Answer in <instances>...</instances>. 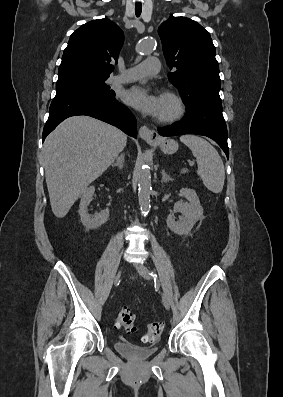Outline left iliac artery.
<instances>
[{
  "label": "left iliac artery",
  "instance_id": "1",
  "mask_svg": "<svg viewBox=\"0 0 283 397\" xmlns=\"http://www.w3.org/2000/svg\"><path fill=\"white\" fill-rule=\"evenodd\" d=\"M150 275L154 278V280L156 281V279H158V276L155 272H151Z\"/></svg>",
  "mask_w": 283,
  "mask_h": 397
}]
</instances>
